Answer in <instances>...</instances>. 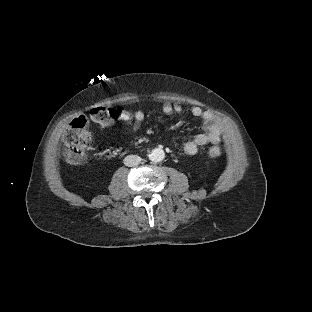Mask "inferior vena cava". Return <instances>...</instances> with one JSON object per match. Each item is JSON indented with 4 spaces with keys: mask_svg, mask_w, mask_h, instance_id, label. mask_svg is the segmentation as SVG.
<instances>
[{
    "mask_svg": "<svg viewBox=\"0 0 312 312\" xmlns=\"http://www.w3.org/2000/svg\"><path fill=\"white\" fill-rule=\"evenodd\" d=\"M141 159L142 158L140 156L131 154V155L126 156L124 162L126 166L135 167L140 164Z\"/></svg>",
    "mask_w": 312,
    "mask_h": 312,
    "instance_id": "1",
    "label": "inferior vena cava"
}]
</instances>
